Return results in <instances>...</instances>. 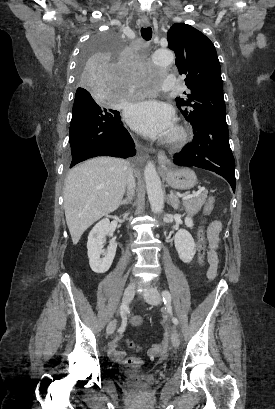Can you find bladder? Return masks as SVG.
Listing matches in <instances>:
<instances>
[{"mask_svg": "<svg viewBox=\"0 0 275 409\" xmlns=\"http://www.w3.org/2000/svg\"><path fill=\"white\" fill-rule=\"evenodd\" d=\"M144 376L151 375V373L147 372L143 374Z\"/></svg>", "mask_w": 275, "mask_h": 409, "instance_id": "31cf9c89", "label": "bladder"}]
</instances>
